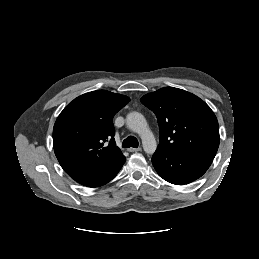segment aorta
I'll return each mask as SVG.
<instances>
[{
	"instance_id": "obj_1",
	"label": "aorta",
	"mask_w": 259,
	"mask_h": 259,
	"mask_svg": "<svg viewBox=\"0 0 259 259\" xmlns=\"http://www.w3.org/2000/svg\"><path fill=\"white\" fill-rule=\"evenodd\" d=\"M126 124L130 130L139 134L144 151L148 154H153L157 144L145 117L139 112H130L126 116Z\"/></svg>"
}]
</instances>
